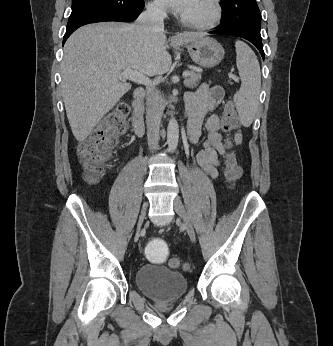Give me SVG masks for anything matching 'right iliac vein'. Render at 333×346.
Instances as JSON below:
<instances>
[{
  "label": "right iliac vein",
  "mask_w": 333,
  "mask_h": 346,
  "mask_svg": "<svg viewBox=\"0 0 333 346\" xmlns=\"http://www.w3.org/2000/svg\"><path fill=\"white\" fill-rule=\"evenodd\" d=\"M146 209H147V204L144 205L141 215H140V219H139V223H138V230L140 229L144 219H145V215H146Z\"/></svg>",
  "instance_id": "right-iliac-vein-1"
}]
</instances>
